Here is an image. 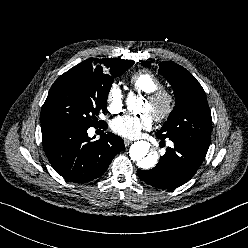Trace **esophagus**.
Listing matches in <instances>:
<instances>
[{
	"mask_svg": "<svg viewBox=\"0 0 248 248\" xmlns=\"http://www.w3.org/2000/svg\"><path fill=\"white\" fill-rule=\"evenodd\" d=\"M131 143L132 142L130 140L124 139V144H125L126 147L129 146Z\"/></svg>",
	"mask_w": 248,
	"mask_h": 248,
	"instance_id": "1",
	"label": "esophagus"
}]
</instances>
